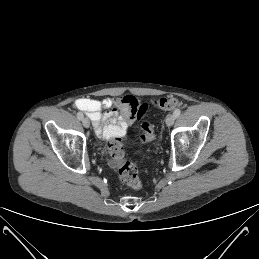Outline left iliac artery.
<instances>
[{"label": "left iliac artery", "instance_id": "44dca946", "mask_svg": "<svg viewBox=\"0 0 259 259\" xmlns=\"http://www.w3.org/2000/svg\"><path fill=\"white\" fill-rule=\"evenodd\" d=\"M173 114L177 118L181 114V110L180 109H176Z\"/></svg>", "mask_w": 259, "mask_h": 259}]
</instances>
